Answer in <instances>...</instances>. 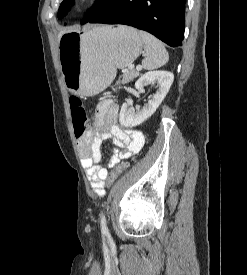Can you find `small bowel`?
I'll return each instance as SVG.
<instances>
[{
	"instance_id": "c3829d8e",
	"label": "small bowel",
	"mask_w": 247,
	"mask_h": 275,
	"mask_svg": "<svg viewBox=\"0 0 247 275\" xmlns=\"http://www.w3.org/2000/svg\"><path fill=\"white\" fill-rule=\"evenodd\" d=\"M119 106L111 100L101 101L95 110L93 129L89 130L77 142L82 165L86 170L93 191L103 196L105 194V180L109 169L117 165L120 160L138 153L144 144L142 132L124 128L118 123ZM109 140L113 147V154L106 167L99 165L104 141Z\"/></svg>"
}]
</instances>
